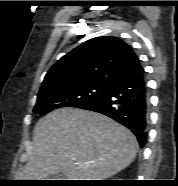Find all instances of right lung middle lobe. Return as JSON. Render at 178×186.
I'll return each mask as SVG.
<instances>
[{
    "label": "right lung middle lobe",
    "instance_id": "dd1d6c3e",
    "mask_svg": "<svg viewBox=\"0 0 178 186\" xmlns=\"http://www.w3.org/2000/svg\"><path fill=\"white\" fill-rule=\"evenodd\" d=\"M109 84L90 83L74 87L39 92L33 112L44 116L61 107H79L96 98Z\"/></svg>",
    "mask_w": 178,
    "mask_h": 186
}]
</instances>
